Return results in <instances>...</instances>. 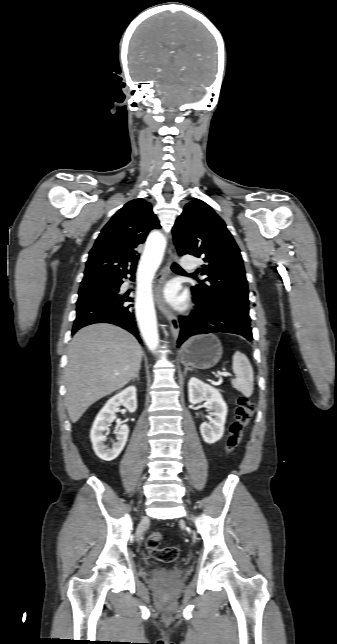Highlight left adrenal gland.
Segmentation results:
<instances>
[{
	"instance_id": "a2214340",
	"label": "left adrenal gland",
	"mask_w": 337,
	"mask_h": 644,
	"mask_svg": "<svg viewBox=\"0 0 337 644\" xmlns=\"http://www.w3.org/2000/svg\"><path fill=\"white\" fill-rule=\"evenodd\" d=\"M188 371H191V370H190V369H188V368H186V369L184 370V376H186V374H187V372H188Z\"/></svg>"
}]
</instances>
